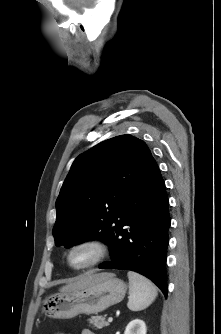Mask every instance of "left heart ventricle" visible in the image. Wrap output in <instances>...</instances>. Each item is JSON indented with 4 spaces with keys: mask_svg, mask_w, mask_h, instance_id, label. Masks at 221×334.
Wrapping results in <instances>:
<instances>
[{
    "mask_svg": "<svg viewBox=\"0 0 221 334\" xmlns=\"http://www.w3.org/2000/svg\"><path fill=\"white\" fill-rule=\"evenodd\" d=\"M91 257H92L91 251L87 249H82V250L76 251L72 255V261L75 264H82V263L87 262Z\"/></svg>",
    "mask_w": 221,
    "mask_h": 334,
    "instance_id": "left-heart-ventricle-1",
    "label": "left heart ventricle"
}]
</instances>
